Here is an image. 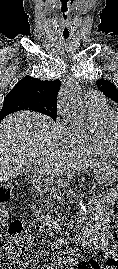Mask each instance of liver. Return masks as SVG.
<instances>
[{
  "label": "liver",
  "mask_w": 118,
  "mask_h": 269,
  "mask_svg": "<svg viewBox=\"0 0 118 269\" xmlns=\"http://www.w3.org/2000/svg\"><path fill=\"white\" fill-rule=\"evenodd\" d=\"M58 146L59 130L48 116L25 110L5 117L0 122V182L16 178L22 166L56 176L69 169L86 171L100 164Z\"/></svg>",
  "instance_id": "1"
}]
</instances>
